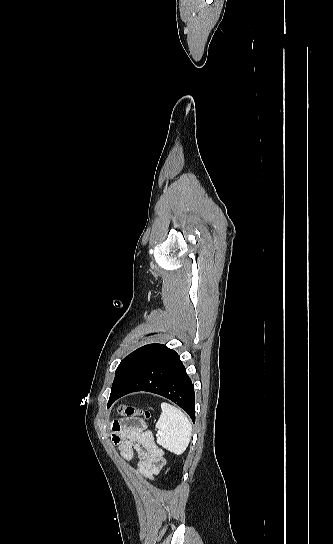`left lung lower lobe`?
<instances>
[{
	"label": "left lung lower lobe",
	"mask_w": 333,
	"mask_h": 544,
	"mask_svg": "<svg viewBox=\"0 0 333 544\" xmlns=\"http://www.w3.org/2000/svg\"><path fill=\"white\" fill-rule=\"evenodd\" d=\"M136 391L164 396L183 408L195 422V392L179 355L164 346L119 391L111 392L108 407L118 398Z\"/></svg>",
	"instance_id": "1"
}]
</instances>
